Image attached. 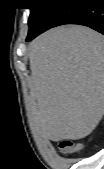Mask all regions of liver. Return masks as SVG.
Wrapping results in <instances>:
<instances>
[{"label":"liver","instance_id":"6515ba94","mask_svg":"<svg viewBox=\"0 0 104 169\" xmlns=\"http://www.w3.org/2000/svg\"><path fill=\"white\" fill-rule=\"evenodd\" d=\"M33 125L43 139L79 140L104 114V37L80 25L53 28L29 44Z\"/></svg>","mask_w":104,"mask_h":169}]
</instances>
